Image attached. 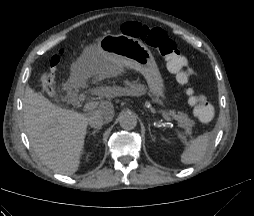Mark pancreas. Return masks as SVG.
<instances>
[{
	"instance_id": "cf45deb5",
	"label": "pancreas",
	"mask_w": 254,
	"mask_h": 216,
	"mask_svg": "<svg viewBox=\"0 0 254 216\" xmlns=\"http://www.w3.org/2000/svg\"><path fill=\"white\" fill-rule=\"evenodd\" d=\"M130 88L131 90L137 92L141 90L140 86L134 84H130ZM113 90L115 91L116 88H113ZM164 113L175 119L179 123V125L185 130V132L182 135L183 140H186L187 136H191L192 127L194 126L195 122L191 120L185 113L183 112L176 113L175 111H168Z\"/></svg>"
}]
</instances>
